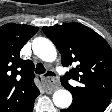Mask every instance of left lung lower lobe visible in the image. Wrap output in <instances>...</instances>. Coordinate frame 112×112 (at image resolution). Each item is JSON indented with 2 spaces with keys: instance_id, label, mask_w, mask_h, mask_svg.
<instances>
[{
  "instance_id": "0a47b994",
  "label": "left lung lower lobe",
  "mask_w": 112,
  "mask_h": 112,
  "mask_svg": "<svg viewBox=\"0 0 112 112\" xmlns=\"http://www.w3.org/2000/svg\"><path fill=\"white\" fill-rule=\"evenodd\" d=\"M105 109L106 107L98 105L72 103L68 109H63L61 112H103Z\"/></svg>"
}]
</instances>
